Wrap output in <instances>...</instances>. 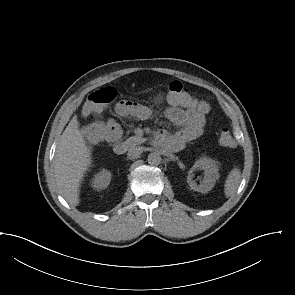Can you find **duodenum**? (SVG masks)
Listing matches in <instances>:
<instances>
[{
  "label": "duodenum",
  "mask_w": 295,
  "mask_h": 295,
  "mask_svg": "<svg viewBox=\"0 0 295 295\" xmlns=\"http://www.w3.org/2000/svg\"><path fill=\"white\" fill-rule=\"evenodd\" d=\"M115 154L123 155L127 151V145L124 142H117L113 148Z\"/></svg>",
  "instance_id": "1"
}]
</instances>
